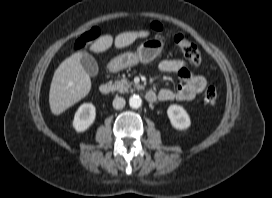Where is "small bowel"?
Returning a JSON list of instances; mask_svg holds the SVG:
<instances>
[{"label": "small bowel", "mask_w": 272, "mask_h": 198, "mask_svg": "<svg viewBox=\"0 0 272 198\" xmlns=\"http://www.w3.org/2000/svg\"><path fill=\"white\" fill-rule=\"evenodd\" d=\"M159 69L167 73H175L181 80L176 90L162 89L158 93V99L163 102L191 101L207 86V79L202 75H194L190 72L187 63L181 59H166L159 63Z\"/></svg>", "instance_id": "1"}]
</instances>
